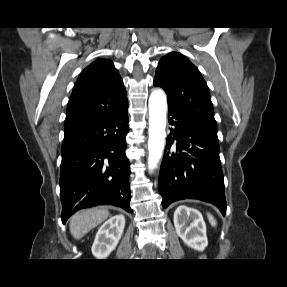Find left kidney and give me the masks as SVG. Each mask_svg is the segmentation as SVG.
Segmentation results:
<instances>
[{"mask_svg": "<svg viewBox=\"0 0 287 287\" xmlns=\"http://www.w3.org/2000/svg\"><path fill=\"white\" fill-rule=\"evenodd\" d=\"M174 226L177 235L187 246L198 251H203L207 247L206 225L198 210L184 205L179 206L174 212Z\"/></svg>", "mask_w": 287, "mask_h": 287, "instance_id": "left-kidney-1", "label": "left kidney"}]
</instances>
